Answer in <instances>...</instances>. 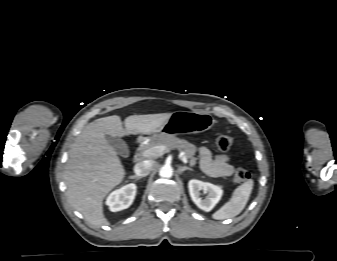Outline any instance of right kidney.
<instances>
[{"mask_svg":"<svg viewBox=\"0 0 337 261\" xmlns=\"http://www.w3.org/2000/svg\"><path fill=\"white\" fill-rule=\"evenodd\" d=\"M137 186L133 183L113 191L106 200V204L112 212L128 208L136 195Z\"/></svg>","mask_w":337,"mask_h":261,"instance_id":"obj_1","label":"right kidney"}]
</instances>
